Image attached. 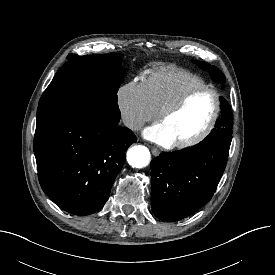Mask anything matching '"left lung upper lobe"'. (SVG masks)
<instances>
[{"mask_svg":"<svg viewBox=\"0 0 275 275\" xmlns=\"http://www.w3.org/2000/svg\"><path fill=\"white\" fill-rule=\"evenodd\" d=\"M196 63H198L202 69H208L211 77L216 82L221 83L222 87H224L225 76L216 66L210 65L203 61H198ZM220 103H221V117L216 122L215 129H213L211 133L227 132L229 134H232L233 116H232L230 106L223 97H220Z\"/></svg>","mask_w":275,"mask_h":275,"instance_id":"left-lung-upper-lobe-1","label":"left lung upper lobe"}]
</instances>
